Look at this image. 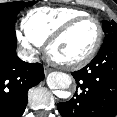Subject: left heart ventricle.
Instances as JSON below:
<instances>
[{
  "label": "left heart ventricle",
  "instance_id": "obj_1",
  "mask_svg": "<svg viewBox=\"0 0 117 117\" xmlns=\"http://www.w3.org/2000/svg\"><path fill=\"white\" fill-rule=\"evenodd\" d=\"M97 34L98 29L94 21H83L52 47L51 54L59 61L79 60L92 50Z\"/></svg>",
  "mask_w": 117,
  "mask_h": 117
}]
</instances>
